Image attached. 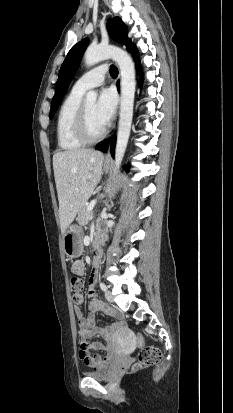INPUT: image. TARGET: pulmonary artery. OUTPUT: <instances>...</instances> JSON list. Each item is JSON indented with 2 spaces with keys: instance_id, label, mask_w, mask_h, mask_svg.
<instances>
[{
  "instance_id": "1",
  "label": "pulmonary artery",
  "mask_w": 233,
  "mask_h": 413,
  "mask_svg": "<svg viewBox=\"0 0 233 413\" xmlns=\"http://www.w3.org/2000/svg\"><path fill=\"white\" fill-rule=\"evenodd\" d=\"M107 67L105 65L97 66L84 73L74 84L73 88L78 91L86 92L89 89L97 87L104 82Z\"/></svg>"
}]
</instances>
